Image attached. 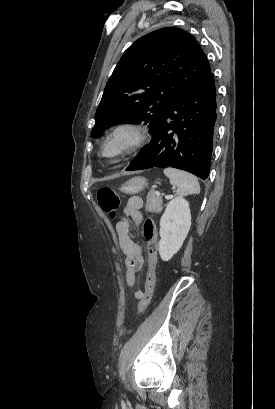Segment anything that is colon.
Wrapping results in <instances>:
<instances>
[{
  "label": "colon",
  "mask_w": 275,
  "mask_h": 409,
  "mask_svg": "<svg viewBox=\"0 0 275 409\" xmlns=\"http://www.w3.org/2000/svg\"><path fill=\"white\" fill-rule=\"evenodd\" d=\"M96 197L100 208L106 214L114 215L121 208L120 197L110 188L99 189ZM142 233L145 241L147 242L149 262L144 292L138 304V314L143 313L151 302L155 283V272L158 257V236L155 222L152 217H148L143 223Z\"/></svg>",
  "instance_id": "1"
}]
</instances>
